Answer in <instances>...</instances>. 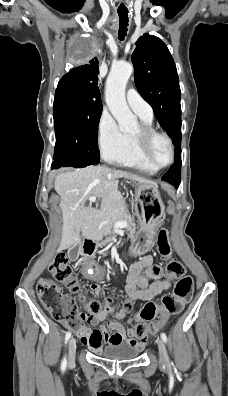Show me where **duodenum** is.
<instances>
[{"mask_svg":"<svg viewBox=\"0 0 228 396\" xmlns=\"http://www.w3.org/2000/svg\"><path fill=\"white\" fill-rule=\"evenodd\" d=\"M85 254L92 255L97 249V243L93 237H86L83 242Z\"/></svg>","mask_w":228,"mask_h":396,"instance_id":"obj_1","label":"duodenum"}]
</instances>
